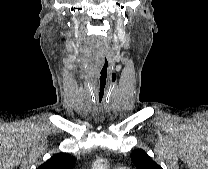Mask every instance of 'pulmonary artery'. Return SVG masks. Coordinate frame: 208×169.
<instances>
[{
  "label": "pulmonary artery",
  "instance_id": "e3ab8cb5",
  "mask_svg": "<svg viewBox=\"0 0 208 169\" xmlns=\"http://www.w3.org/2000/svg\"><path fill=\"white\" fill-rule=\"evenodd\" d=\"M115 169H128L127 167H116Z\"/></svg>",
  "mask_w": 208,
  "mask_h": 169
}]
</instances>
